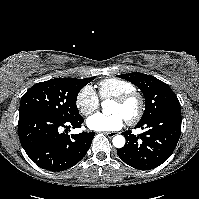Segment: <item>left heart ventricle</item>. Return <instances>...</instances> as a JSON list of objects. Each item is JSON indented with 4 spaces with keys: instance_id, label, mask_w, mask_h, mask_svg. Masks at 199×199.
<instances>
[{
    "instance_id": "obj_1",
    "label": "left heart ventricle",
    "mask_w": 199,
    "mask_h": 199,
    "mask_svg": "<svg viewBox=\"0 0 199 199\" xmlns=\"http://www.w3.org/2000/svg\"><path fill=\"white\" fill-rule=\"evenodd\" d=\"M136 110V102L130 101L126 105H120L113 102L110 108L111 113H121L125 118L132 114Z\"/></svg>"
}]
</instances>
